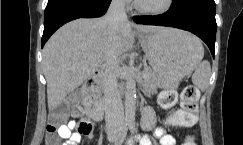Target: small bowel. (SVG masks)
Returning <instances> with one entry per match:
<instances>
[{
    "label": "small bowel",
    "mask_w": 243,
    "mask_h": 145,
    "mask_svg": "<svg viewBox=\"0 0 243 145\" xmlns=\"http://www.w3.org/2000/svg\"><path fill=\"white\" fill-rule=\"evenodd\" d=\"M77 119L76 116H73ZM76 127V121L71 120L65 125H62L59 130V136L64 139L62 145H77L81 140L80 132H73V129ZM141 127L143 130H153V136L159 139L160 145H175V139L172 135L167 134L162 127H156V116L154 111L146 107L143 111ZM89 137H92V131L86 134ZM132 142H139V145H152L149 136L147 135H135L131 138ZM133 145V144H131Z\"/></svg>",
    "instance_id": "small-bowel-1"
}]
</instances>
